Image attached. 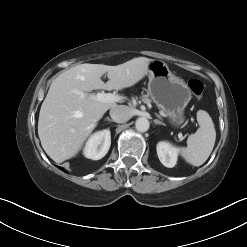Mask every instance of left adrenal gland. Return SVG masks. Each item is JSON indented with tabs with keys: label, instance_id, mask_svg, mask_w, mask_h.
<instances>
[{
	"label": "left adrenal gland",
	"instance_id": "left-adrenal-gland-1",
	"mask_svg": "<svg viewBox=\"0 0 247 247\" xmlns=\"http://www.w3.org/2000/svg\"><path fill=\"white\" fill-rule=\"evenodd\" d=\"M154 123H155V125H163V126H165L164 123H162L161 121H159L157 119H154Z\"/></svg>",
	"mask_w": 247,
	"mask_h": 247
}]
</instances>
